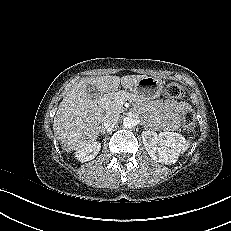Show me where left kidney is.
<instances>
[{
    "instance_id": "left-kidney-1",
    "label": "left kidney",
    "mask_w": 231,
    "mask_h": 231,
    "mask_svg": "<svg viewBox=\"0 0 231 231\" xmlns=\"http://www.w3.org/2000/svg\"><path fill=\"white\" fill-rule=\"evenodd\" d=\"M142 140L149 156L162 164H174L186 142L181 134L150 130L142 132Z\"/></svg>"
}]
</instances>
